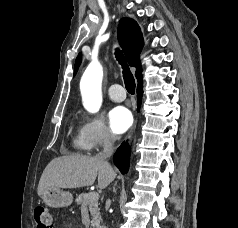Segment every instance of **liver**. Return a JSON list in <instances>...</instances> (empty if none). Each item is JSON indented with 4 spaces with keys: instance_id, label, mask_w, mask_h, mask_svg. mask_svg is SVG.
I'll return each mask as SVG.
<instances>
[{
    "instance_id": "liver-1",
    "label": "liver",
    "mask_w": 238,
    "mask_h": 228,
    "mask_svg": "<svg viewBox=\"0 0 238 228\" xmlns=\"http://www.w3.org/2000/svg\"><path fill=\"white\" fill-rule=\"evenodd\" d=\"M116 173L109 163L85 155H68L53 159L44 169L37 193L42 196L49 187L79 188L92 185L98 178V187L106 188Z\"/></svg>"
}]
</instances>
